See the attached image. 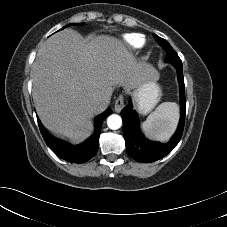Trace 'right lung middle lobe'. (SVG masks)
Instances as JSON below:
<instances>
[{
  "instance_id": "1",
  "label": "right lung middle lobe",
  "mask_w": 227,
  "mask_h": 227,
  "mask_svg": "<svg viewBox=\"0 0 227 227\" xmlns=\"http://www.w3.org/2000/svg\"><path fill=\"white\" fill-rule=\"evenodd\" d=\"M69 25H73V24H69ZM69 25L64 26L62 29L66 28V27L69 26ZM76 25H78V24H76Z\"/></svg>"
}]
</instances>
